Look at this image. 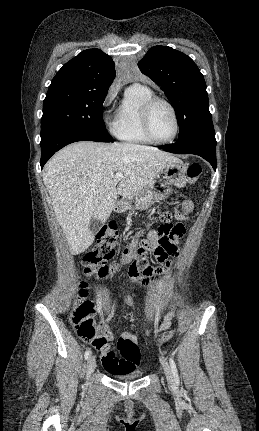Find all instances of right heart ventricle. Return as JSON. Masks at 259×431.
Returning <instances> with one entry per match:
<instances>
[{"instance_id":"obj_1","label":"right heart ventricle","mask_w":259,"mask_h":431,"mask_svg":"<svg viewBox=\"0 0 259 431\" xmlns=\"http://www.w3.org/2000/svg\"><path fill=\"white\" fill-rule=\"evenodd\" d=\"M154 96L152 90L132 85L126 91L114 124L115 136L126 143L147 145L152 142L145 135L141 124V109Z\"/></svg>"}]
</instances>
